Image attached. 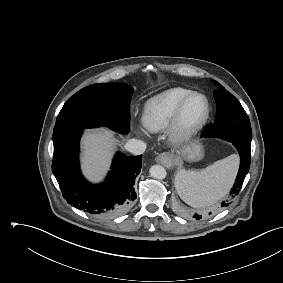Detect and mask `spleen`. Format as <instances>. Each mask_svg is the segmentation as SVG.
Masks as SVG:
<instances>
[{
	"instance_id": "1",
	"label": "spleen",
	"mask_w": 283,
	"mask_h": 283,
	"mask_svg": "<svg viewBox=\"0 0 283 283\" xmlns=\"http://www.w3.org/2000/svg\"><path fill=\"white\" fill-rule=\"evenodd\" d=\"M238 163V156L232 154L200 171L180 170L175 178L178 195L195 208L213 204L229 191Z\"/></svg>"
}]
</instances>
